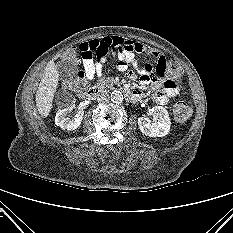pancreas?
<instances>
[{
    "instance_id": "cf45deb5",
    "label": "pancreas",
    "mask_w": 233,
    "mask_h": 233,
    "mask_svg": "<svg viewBox=\"0 0 233 233\" xmlns=\"http://www.w3.org/2000/svg\"><path fill=\"white\" fill-rule=\"evenodd\" d=\"M114 83L115 81L112 78H103L97 82L96 87L100 89L112 88Z\"/></svg>"
}]
</instances>
